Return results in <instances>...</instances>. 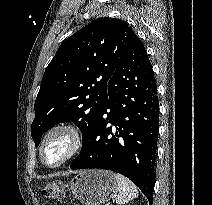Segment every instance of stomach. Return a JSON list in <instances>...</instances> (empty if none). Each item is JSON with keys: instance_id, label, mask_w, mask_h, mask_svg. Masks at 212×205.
I'll list each match as a JSON object with an SVG mask.
<instances>
[{"instance_id": "stomach-1", "label": "stomach", "mask_w": 212, "mask_h": 205, "mask_svg": "<svg viewBox=\"0 0 212 205\" xmlns=\"http://www.w3.org/2000/svg\"><path fill=\"white\" fill-rule=\"evenodd\" d=\"M69 190L84 205H101L115 196L117 182L110 171L86 170L72 178Z\"/></svg>"}]
</instances>
